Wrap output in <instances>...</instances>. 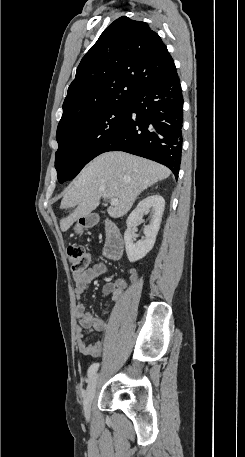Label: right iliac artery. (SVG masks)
Returning <instances> with one entry per match:
<instances>
[{"label": "right iliac artery", "mask_w": 245, "mask_h": 457, "mask_svg": "<svg viewBox=\"0 0 245 457\" xmlns=\"http://www.w3.org/2000/svg\"><path fill=\"white\" fill-rule=\"evenodd\" d=\"M99 363H93L88 369V378L90 379L98 370Z\"/></svg>", "instance_id": "82829eb1"}]
</instances>
